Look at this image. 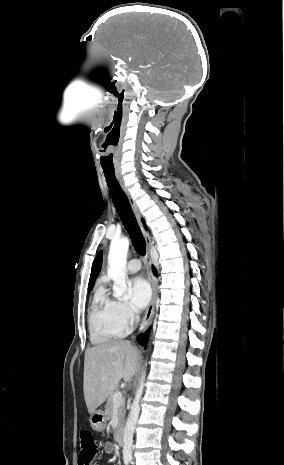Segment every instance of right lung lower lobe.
I'll list each match as a JSON object with an SVG mask.
<instances>
[{"label": "right lung lower lobe", "mask_w": 284, "mask_h": 465, "mask_svg": "<svg viewBox=\"0 0 284 465\" xmlns=\"http://www.w3.org/2000/svg\"><path fill=\"white\" fill-rule=\"evenodd\" d=\"M148 336H149V331H147L144 335H140L138 337V342L140 343V345L145 346L147 344Z\"/></svg>", "instance_id": "98d812e1"}]
</instances>
